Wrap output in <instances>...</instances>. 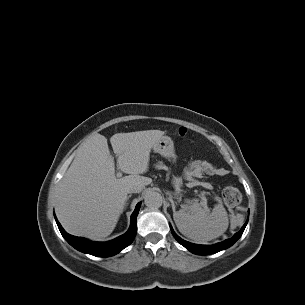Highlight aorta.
Wrapping results in <instances>:
<instances>
[{
    "instance_id": "aorta-1",
    "label": "aorta",
    "mask_w": 305,
    "mask_h": 305,
    "mask_svg": "<svg viewBox=\"0 0 305 305\" xmlns=\"http://www.w3.org/2000/svg\"><path fill=\"white\" fill-rule=\"evenodd\" d=\"M144 202L148 208L157 209L162 206L163 198L158 192L150 191L145 195Z\"/></svg>"
}]
</instances>
